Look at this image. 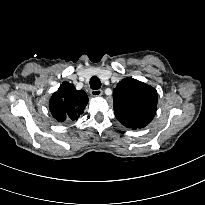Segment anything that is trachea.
<instances>
[{"label":"trachea","mask_w":205,"mask_h":205,"mask_svg":"<svg viewBox=\"0 0 205 205\" xmlns=\"http://www.w3.org/2000/svg\"><path fill=\"white\" fill-rule=\"evenodd\" d=\"M100 87H101L100 79L96 76H93L90 79V88L93 89V90H97V89H100Z\"/></svg>","instance_id":"3493384b"}]
</instances>
